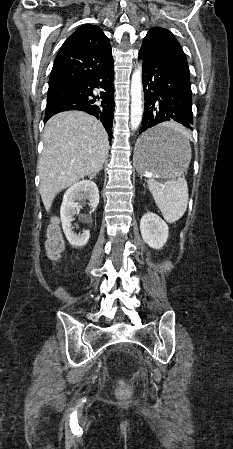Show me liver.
Instances as JSON below:
<instances>
[{
	"mask_svg": "<svg viewBox=\"0 0 233 449\" xmlns=\"http://www.w3.org/2000/svg\"><path fill=\"white\" fill-rule=\"evenodd\" d=\"M43 142L37 169L41 199L49 211L57 193L102 169L109 143L102 123L82 111H65L50 118Z\"/></svg>",
	"mask_w": 233,
	"mask_h": 449,
	"instance_id": "6515ba94",
	"label": "liver"
}]
</instances>
